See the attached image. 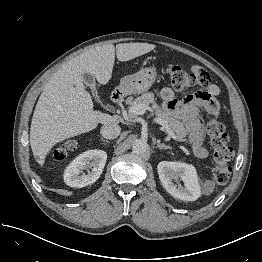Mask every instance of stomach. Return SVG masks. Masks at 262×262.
Here are the masks:
<instances>
[{
  "mask_svg": "<svg viewBox=\"0 0 262 262\" xmlns=\"http://www.w3.org/2000/svg\"><path fill=\"white\" fill-rule=\"evenodd\" d=\"M157 77L154 67L144 68L140 71L123 77L120 80L118 91L123 94L142 93L150 89Z\"/></svg>",
  "mask_w": 262,
  "mask_h": 262,
  "instance_id": "1",
  "label": "stomach"
}]
</instances>
